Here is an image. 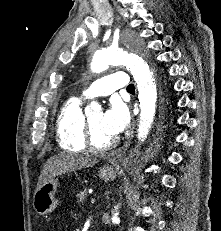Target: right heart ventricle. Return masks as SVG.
<instances>
[{"instance_id": "right-heart-ventricle-1", "label": "right heart ventricle", "mask_w": 221, "mask_h": 231, "mask_svg": "<svg viewBox=\"0 0 221 231\" xmlns=\"http://www.w3.org/2000/svg\"><path fill=\"white\" fill-rule=\"evenodd\" d=\"M82 102L78 98L67 100L56 119V137L61 149L68 152H83L86 149L83 138Z\"/></svg>"}]
</instances>
